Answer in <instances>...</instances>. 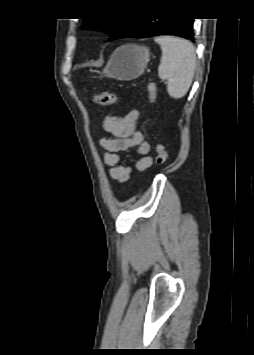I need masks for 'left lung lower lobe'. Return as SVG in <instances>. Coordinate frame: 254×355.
Instances as JSON below:
<instances>
[{
  "label": "left lung lower lobe",
  "mask_w": 254,
  "mask_h": 355,
  "mask_svg": "<svg viewBox=\"0 0 254 355\" xmlns=\"http://www.w3.org/2000/svg\"><path fill=\"white\" fill-rule=\"evenodd\" d=\"M158 35H176L194 40L192 18H133L119 38H147ZM118 38V39H119Z\"/></svg>",
  "instance_id": "left-lung-lower-lobe-1"
}]
</instances>
